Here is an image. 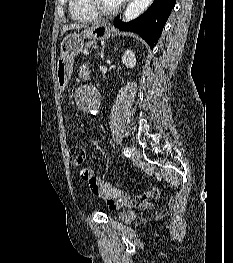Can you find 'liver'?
<instances>
[{
    "mask_svg": "<svg viewBox=\"0 0 233 263\" xmlns=\"http://www.w3.org/2000/svg\"><path fill=\"white\" fill-rule=\"evenodd\" d=\"M87 27L86 24H71V25H65L61 31V35H63L66 31L68 30H73V29H81Z\"/></svg>",
    "mask_w": 233,
    "mask_h": 263,
    "instance_id": "obj_1",
    "label": "liver"
}]
</instances>
